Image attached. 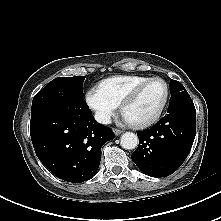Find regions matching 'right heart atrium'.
<instances>
[{
	"instance_id": "obj_1",
	"label": "right heart atrium",
	"mask_w": 221,
	"mask_h": 221,
	"mask_svg": "<svg viewBox=\"0 0 221 221\" xmlns=\"http://www.w3.org/2000/svg\"><path fill=\"white\" fill-rule=\"evenodd\" d=\"M88 107L94 112L96 120L108 124L116 116L118 105L109 99L98 87L90 88L85 96Z\"/></svg>"
}]
</instances>
